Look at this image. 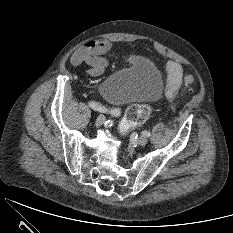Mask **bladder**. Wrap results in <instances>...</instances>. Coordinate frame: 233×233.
<instances>
[{"label":"bladder","mask_w":233,"mask_h":233,"mask_svg":"<svg viewBox=\"0 0 233 233\" xmlns=\"http://www.w3.org/2000/svg\"><path fill=\"white\" fill-rule=\"evenodd\" d=\"M162 91L161 72L152 61L140 55L132 56L127 66L113 72L99 86L100 95L116 105L155 101Z\"/></svg>","instance_id":"bladder-1"}]
</instances>
